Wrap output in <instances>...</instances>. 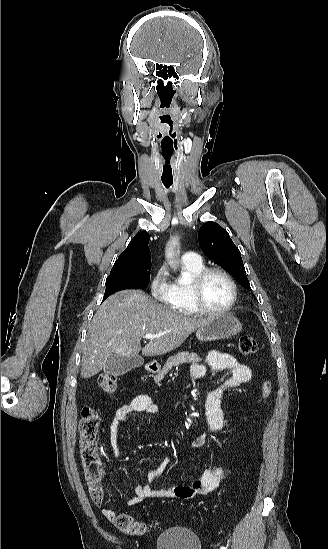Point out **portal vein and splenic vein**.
Listing matches in <instances>:
<instances>
[{"instance_id": "1", "label": "portal vein and splenic vein", "mask_w": 328, "mask_h": 549, "mask_svg": "<svg viewBox=\"0 0 328 549\" xmlns=\"http://www.w3.org/2000/svg\"><path fill=\"white\" fill-rule=\"evenodd\" d=\"M162 335H165V333H159V335H150V333H147V335H144V339H156V337H162Z\"/></svg>"}]
</instances>
